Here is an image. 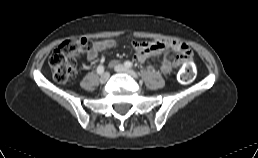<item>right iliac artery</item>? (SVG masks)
<instances>
[{"label":"right iliac artery","instance_id":"82829eb1","mask_svg":"<svg viewBox=\"0 0 258 158\" xmlns=\"http://www.w3.org/2000/svg\"><path fill=\"white\" fill-rule=\"evenodd\" d=\"M104 72V67L102 66V65H99L98 67H97V73L98 74H102Z\"/></svg>","mask_w":258,"mask_h":158}]
</instances>
